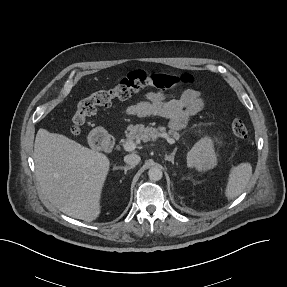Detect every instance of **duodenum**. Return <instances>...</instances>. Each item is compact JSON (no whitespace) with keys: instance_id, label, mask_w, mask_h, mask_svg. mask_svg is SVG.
Segmentation results:
<instances>
[{"instance_id":"1","label":"duodenum","mask_w":287,"mask_h":287,"mask_svg":"<svg viewBox=\"0 0 287 287\" xmlns=\"http://www.w3.org/2000/svg\"><path fill=\"white\" fill-rule=\"evenodd\" d=\"M90 143L93 147L112 150L115 145V139L102 130H96L90 135Z\"/></svg>"}]
</instances>
